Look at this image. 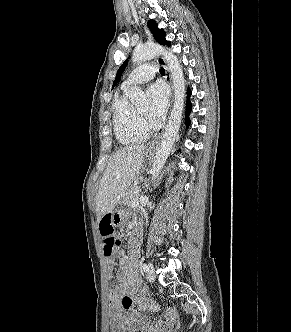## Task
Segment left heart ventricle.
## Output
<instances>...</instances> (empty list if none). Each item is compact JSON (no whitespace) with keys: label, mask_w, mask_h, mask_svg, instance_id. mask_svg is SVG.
<instances>
[{"label":"left heart ventricle","mask_w":291,"mask_h":332,"mask_svg":"<svg viewBox=\"0 0 291 332\" xmlns=\"http://www.w3.org/2000/svg\"><path fill=\"white\" fill-rule=\"evenodd\" d=\"M137 110L142 113L143 115L146 114L147 112V105L146 104H142L140 106H138Z\"/></svg>","instance_id":"1"}]
</instances>
